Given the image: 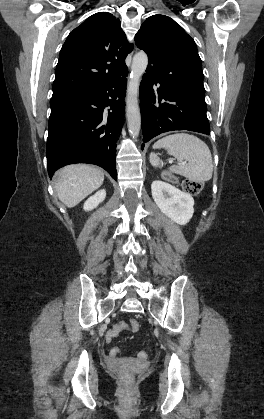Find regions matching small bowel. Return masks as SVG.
I'll return each mask as SVG.
<instances>
[{"instance_id": "1", "label": "small bowel", "mask_w": 264, "mask_h": 419, "mask_svg": "<svg viewBox=\"0 0 264 419\" xmlns=\"http://www.w3.org/2000/svg\"><path fill=\"white\" fill-rule=\"evenodd\" d=\"M122 323H120V324H116V325H114L108 332H107V334H106V340L108 341V342H110L114 337H116L122 330H123V328H122ZM115 331V333L113 334V332ZM119 353H120V349L118 348V347H114V348H112L111 349V351H110V355L112 356V357H116V356H118L119 355Z\"/></svg>"}]
</instances>
